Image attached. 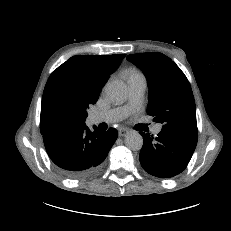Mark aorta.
Here are the masks:
<instances>
[{
	"label": "aorta",
	"instance_id": "762f6f07",
	"mask_svg": "<svg viewBox=\"0 0 231 231\" xmlns=\"http://www.w3.org/2000/svg\"><path fill=\"white\" fill-rule=\"evenodd\" d=\"M106 95L113 102H122L127 94L126 85L122 81H112L106 85ZM125 145L132 151H138L143 146V138L137 131H131L125 136Z\"/></svg>",
	"mask_w": 231,
	"mask_h": 231
}]
</instances>
